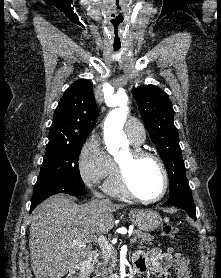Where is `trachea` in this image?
I'll return each mask as SVG.
<instances>
[{
	"instance_id": "3493384b",
	"label": "trachea",
	"mask_w": 221,
	"mask_h": 278,
	"mask_svg": "<svg viewBox=\"0 0 221 278\" xmlns=\"http://www.w3.org/2000/svg\"><path fill=\"white\" fill-rule=\"evenodd\" d=\"M120 48H116V47H114V51H118Z\"/></svg>"
}]
</instances>
